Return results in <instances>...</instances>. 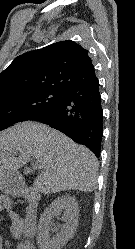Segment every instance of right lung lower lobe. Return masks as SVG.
I'll return each instance as SVG.
<instances>
[{
  "instance_id": "obj_1",
  "label": "right lung lower lobe",
  "mask_w": 135,
  "mask_h": 249,
  "mask_svg": "<svg viewBox=\"0 0 135 249\" xmlns=\"http://www.w3.org/2000/svg\"><path fill=\"white\" fill-rule=\"evenodd\" d=\"M28 120L50 125L87 146L99 158L103 137V110L98 78L72 86L57 101Z\"/></svg>"
}]
</instances>
